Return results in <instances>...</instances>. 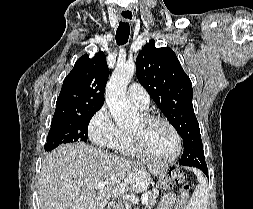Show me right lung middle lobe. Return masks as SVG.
Here are the masks:
<instances>
[{
	"instance_id": "1",
	"label": "right lung middle lobe",
	"mask_w": 253,
	"mask_h": 209,
	"mask_svg": "<svg viewBox=\"0 0 253 209\" xmlns=\"http://www.w3.org/2000/svg\"><path fill=\"white\" fill-rule=\"evenodd\" d=\"M98 110L95 109L79 115L53 119L48 133L47 143L44 146L45 150L51 151L63 143L86 142L90 119Z\"/></svg>"
}]
</instances>
